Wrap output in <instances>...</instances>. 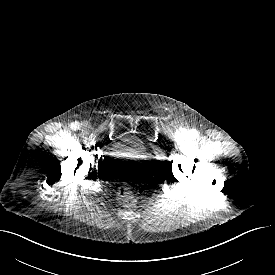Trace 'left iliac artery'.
<instances>
[{
	"label": "left iliac artery",
	"mask_w": 275,
	"mask_h": 275,
	"mask_svg": "<svg viewBox=\"0 0 275 275\" xmlns=\"http://www.w3.org/2000/svg\"><path fill=\"white\" fill-rule=\"evenodd\" d=\"M189 135L191 138H196L198 136V132L193 129L189 132Z\"/></svg>",
	"instance_id": "left-iliac-artery-1"
}]
</instances>
